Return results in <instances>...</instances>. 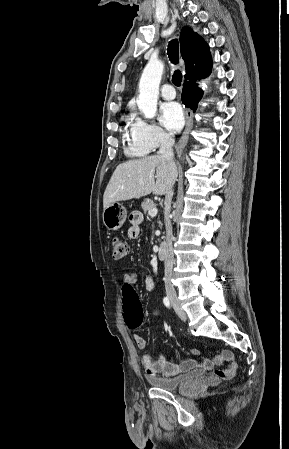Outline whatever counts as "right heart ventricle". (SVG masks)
Returning a JSON list of instances; mask_svg holds the SVG:
<instances>
[{
	"mask_svg": "<svg viewBox=\"0 0 289 449\" xmlns=\"http://www.w3.org/2000/svg\"><path fill=\"white\" fill-rule=\"evenodd\" d=\"M126 136L129 139L128 148H127L128 153H130L134 156H144L148 153V151L144 147L138 145L134 141V139H133V123L132 122L130 123L129 130L126 132Z\"/></svg>",
	"mask_w": 289,
	"mask_h": 449,
	"instance_id": "obj_1",
	"label": "right heart ventricle"
}]
</instances>
